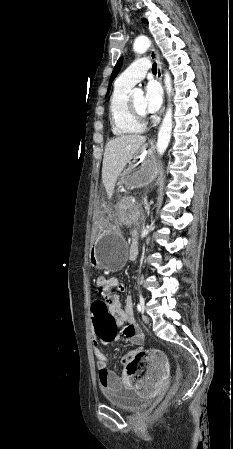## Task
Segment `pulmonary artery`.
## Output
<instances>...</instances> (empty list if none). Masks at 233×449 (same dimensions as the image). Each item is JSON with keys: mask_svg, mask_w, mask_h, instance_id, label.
<instances>
[{"mask_svg": "<svg viewBox=\"0 0 233 449\" xmlns=\"http://www.w3.org/2000/svg\"><path fill=\"white\" fill-rule=\"evenodd\" d=\"M150 67L148 59H137L119 75L116 83L131 88L145 77Z\"/></svg>", "mask_w": 233, "mask_h": 449, "instance_id": "pulmonary-artery-1", "label": "pulmonary artery"}]
</instances>
